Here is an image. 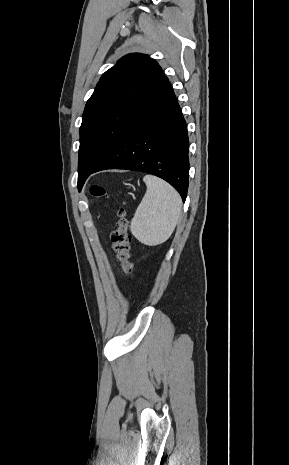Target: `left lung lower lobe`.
<instances>
[{
    "instance_id": "left-lung-lower-lobe-1",
    "label": "left lung lower lobe",
    "mask_w": 289,
    "mask_h": 465,
    "mask_svg": "<svg viewBox=\"0 0 289 465\" xmlns=\"http://www.w3.org/2000/svg\"><path fill=\"white\" fill-rule=\"evenodd\" d=\"M188 143L185 120L167 81L90 174L105 169L153 174L170 183L185 202L189 176Z\"/></svg>"
}]
</instances>
